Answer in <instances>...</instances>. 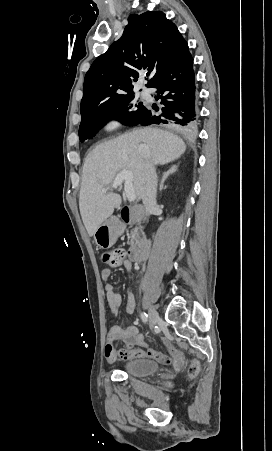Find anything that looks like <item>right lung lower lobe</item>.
Listing matches in <instances>:
<instances>
[{
	"label": "right lung lower lobe",
	"instance_id": "1",
	"mask_svg": "<svg viewBox=\"0 0 272 451\" xmlns=\"http://www.w3.org/2000/svg\"><path fill=\"white\" fill-rule=\"evenodd\" d=\"M152 88H157L155 99H161L162 114L156 116L148 108L136 124H167L181 133H192L197 125L198 111L193 71V58L188 51L182 58L167 68ZM157 110V109H156ZM135 126V125H134Z\"/></svg>",
	"mask_w": 272,
	"mask_h": 451
}]
</instances>
